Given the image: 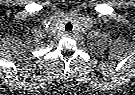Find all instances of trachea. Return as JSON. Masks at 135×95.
I'll return each mask as SVG.
<instances>
[{"label": "trachea", "instance_id": "obj_1", "mask_svg": "<svg viewBox=\"0 0 135 95\" xmlns=\"http://www.w3.org/2000/svg\"><path fill=\"white\" fill-rule=\"evenodd\" d=\"M72 28H73V26H72L71 23H67V24L65 25V30H66V31H72Z\"/></svg>", "mask_w": 135, "mask_h": 95}]
</instances>
